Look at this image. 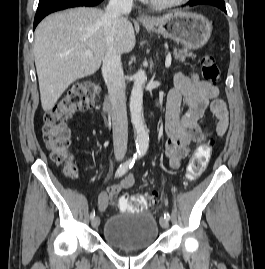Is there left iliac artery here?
I'll use <instances>...</instances> for the list:
<instances>
[{
    "label": "left iliac artery",
    "instance_id": "1",
    "mask_svg": "<svg viewBox=\"0 0 265 269\" xmlns=\"http://www.w3.org/2000/svg\"><path fill=\"white\" fill-rule=\"evenodd\" d=\"M164 218L167 219V220H170V215L168 212H165L164 213Z\"/></svg>",
    "mask_w": 265,
    "mask_h": 269
}]
</instances>
